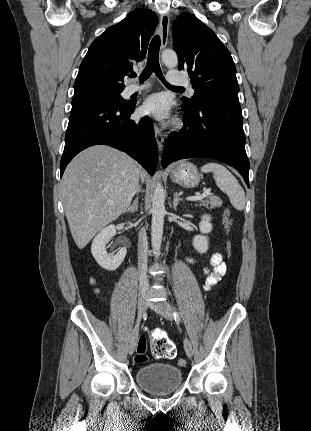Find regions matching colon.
I'll return each instance as SVG.
<instances>
[{
	"instance_id": "colon-1",
	"label": "colon",
	"mask_w": 311,
	"mask_h": 431,
	"mask_svg": "<svg viewBox=\"0 0 311 431\" xmlns=\"http://www.w3.org/2000/svg\"><path fill=\"white\" fill-rule=\"evenodd\" d=\"M223 224L227 231L232 226V219L228 210H224L223 213ZM228 249L231 251V243H228ZM151 350L153 355L158 359H171L176 354L175 345L171 340L165 336H157L152 340ZM147 339L144 335L140 336L137 345V354L134 358L136 363H144L147 361ZM179 366H185V359L181 358L178 360Z\"/></svg>"
}]
</instances>
